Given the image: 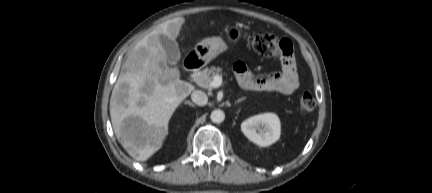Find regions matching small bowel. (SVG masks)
Segmentation results:
<instances>
[{
  "label": "small bowel",
  "mask_w": 432,
  "mask_h": 193,
  "mask_svg": "<svg viewBox=\"0 0 432 193\" xmlns=\"http://www.w3.org/2000/svg\"><path fill=\"white\" fill-rule=\"evenodd\" d=\"M234 72L239 85L252 92L292 94L299 87V77L292 56L282 57V69L266 76H254L245 63L234 64Z\"/></svg>",
  "instance_id": "obj_1"
}]
</instances>
